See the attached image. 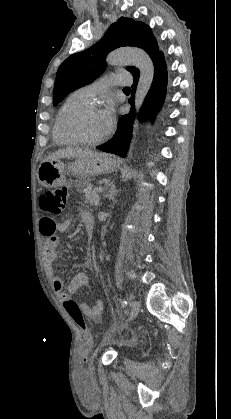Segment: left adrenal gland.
I'll use <instances>...</instances> for the list:
<instances>
[{"mask_svg":"<svg viewBox=\"0 0 231 419\" xmlns=\"http://www.w3.org/2000/svg\"><path fill=\"white\" fill-rule=\"evenodd\" d=\"M117 194V190H115V186H112L109 190L108 197L109 199L114 198Z\"/></svg>","mask_w":231,"mask_h":419,"instance_id":"obj_1","label":"left adrenal gland"}]
</instances>
